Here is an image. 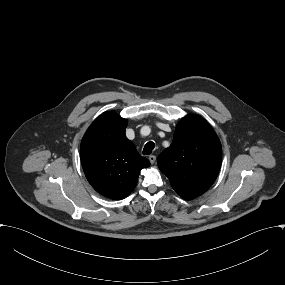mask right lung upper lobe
I'll return each instance as SVG.
<instances>
[{"instance_id":"cb5924a9","label":"right lung upper lobe","mask_w":285,"mask_h":285,"mask_svg":"<svg viewBox=\"0 0 285 285\" xmlns=\"http://www.w3.org/2000/svg\"><path fill=\"white\" fill-rule=\"evenodd\" d=\"M127 120L113 111L100 115L81 142L85 176L101 195L113 200L127 197L135 188L141 169L150 162L125 136Z\"/></svg>"}]
</instances>
